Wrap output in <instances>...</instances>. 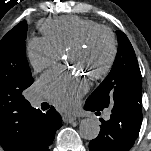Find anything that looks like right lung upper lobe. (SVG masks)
<instances>
[{
  "instance_id": "obj_1",
  "label": "right lung upper lobe",
  "mask_w": 151,
  "mask_h": 151,
  "mask_svg": "<svg viewBox=\"0 0 151 151\" xmlns=\"http://www.w3.org/2000/svg\"><path fill=\"white\" fill-rule=\"evenodd\" d=\"M39 109L26 99L0 97V144L5 151H35L40 137Z\"/></svg>"
}]
</instances>
